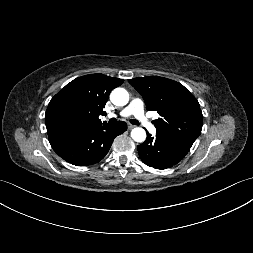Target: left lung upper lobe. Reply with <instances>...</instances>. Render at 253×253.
I'll return each instance as SVG.
<instances>
[{"instance_id": "1", "label": "left lung upper lobe", "mask_w": 253, "mask_h": 253, "mask_svg": "<svg viewBox=\"0 0 253 253\" xmlns=\"http://www.w3.org/2000/svg\"><path fill=\"white\" fill-rule=\"evenodd\" d=\"M143 97L148 111L161 116L155 120L157 132L194 142L201 133L203 115L197 99L180 83L157 76L130 79Z\"/></svg>"}]
</instances>
